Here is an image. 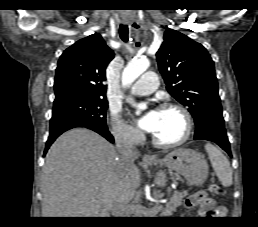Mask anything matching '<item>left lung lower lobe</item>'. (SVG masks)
<instances>
[{
    "instance_id": "left-lung-lower-lobe-1",
    "label": "left lung lower lobe",
    "mask_w": 258,
    "mask_h": 227,
    "mask_svg": "<svg viewBox=\"0 0 258 227\" xmlns=\"http://www.w3.org/2000/svg\"><path fill=\"white\" fill-rule=\"evenodd\" d=\"M195 140H208L218 144L223 150H225L230 156L231 150L224 126L212 125L207 127L203 132L194 136Z\"/></svg>"
}]
</instances>
